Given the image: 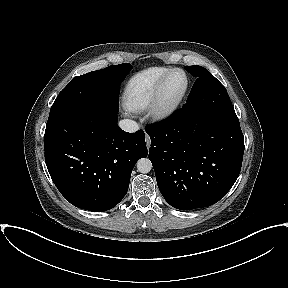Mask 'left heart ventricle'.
Masks as SVG:
<instances>
[{"instance_id":"1","label":"left heart ventricle","mask_w":288,"mask_h":288,"mask_svg":"<svg viewBox=\"0 0 288 288\" xmlns=\"http://www.w3.org/2000/svg\"><path fill=\"white\" fill-rule=\"evenodd\" d=\"M185 84V78L182 73H173L164 88V101L169 103L173 101L182 91Z\"/></svg>"}]
</instances>
